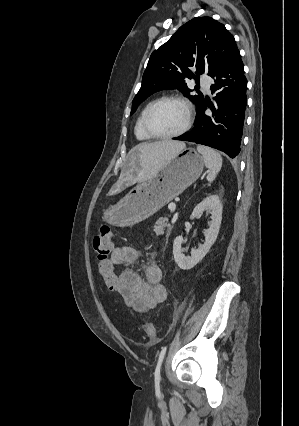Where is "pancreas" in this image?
Returning <instances> with one entry per match:
<instances>
[{
  "instance_id": "pancreas-1",
  "label": "pancreas",
  "mask_w": 299,
  "mask_h": 426,
  "mask_svg": "<svg viewBox=\"0 0 299 426\" xmlns=\"http://www.w3.org/2000/svg\"><path fill=\"white\" fill-rule=\"evenodd\" d=\"M167 229V234L170 233L172 226L168 223V218H160L154 225L153 230L159 236L164 234Z\"/></svg>"
}]
</instances>
